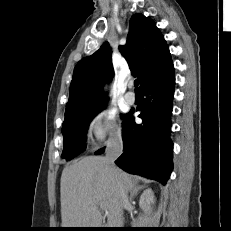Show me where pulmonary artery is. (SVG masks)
Instances as JSON below:
<instances>
[{"label":"pulmonary artery","instance_id":"pulmonary-artery-1","mask_svg":"<svg viewBox=\"0 0 231 231\" xmlns=\"http://www.w3.org/2000/svg\"><path fill=\"white\" fill-rule=\"evenodd\" d=\"M131 87H132V83L129 84V88H131ZM135 100H136V98H135V95H134L133 92L129 91V92L126 93L125 102L127 104L132 105V104L135 103Z\"/></svg>","mask_w":231,"mask_h":231}]
</instances>
